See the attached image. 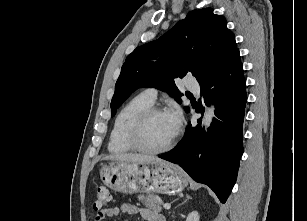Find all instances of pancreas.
<instances>
[{
  "label": "pancreas",
  "instance_id": "obj_1",
  "mask_svg": "<svg viewBox=\"0 0 307 221\" xmlns=\"http://www.w3.org/2000/svg\"><path fill=\"white\" fill-rule=\"evenodd\" d=\"M139 201L147 208L155 211H161L162 199L155 194H147L146 197L143 195L138 196Z\"/></svg>",
  "mask_w": 307,
  "mask_h": 221
}]
</instances>
